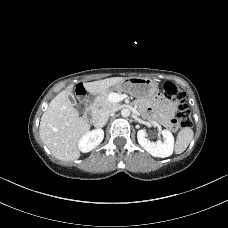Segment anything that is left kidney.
<instances>
[{
  "instance_id": "5707ae66",
  "label": "left kidney",
  "mask_w": 228,
  "mask_h": 228,
  "mask_svg": "<svg viewBox=\"0 0 228 228\" xmlns=\"http://www.w3.org/2000/svg\"><path fill=\"white\" fill-rule=\"evenodd\" d=\"M163 141L151 142L147 139L146 130L137 132L138 143L152 156L165 158L173 153L174 137L169 130H162Z\"/></svg>"
}]
</instances>
